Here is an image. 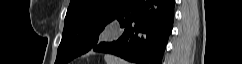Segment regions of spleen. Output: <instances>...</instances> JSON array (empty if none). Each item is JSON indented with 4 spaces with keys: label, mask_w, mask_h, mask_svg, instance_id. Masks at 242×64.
I'll list each match as a JSON object with an SVG mask.
<instances>
[{
    "label": "spleen",
    "mask_w": 242,
    "mask_h": 64,
    "mask_svg": "<svg viewBox=\"0 0 242 64\" xmlns=\"http://www.w3.org/2000/svg\"><path fill=\"white\" fill-rule=\"evenodd\" d=\"M104 59L107 64H129L128 62L124 61L123 59H120L113 55H105Z\"/></svg>",
    "instance_id": "1"
}]
</instances>
